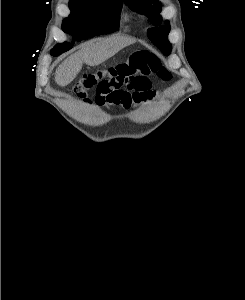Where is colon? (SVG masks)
Segmentation results:
<instances>
[{"instance_id":"colon-1","label":"colon","mask_w":245,"mask_h":300,"mask_svg":"<svg viewBox=\"0 0 245 300\" xmlns=\"http://www.w3.org/2000/svg\"><path fill=\"white\" fill-rule=\"evenodd\" d=\"M150 73L164 81L171 79V73L163 66L156 54L148 51H137L132 53L126 62L113 68L83 74L75 90L81 94L108 76L119 77L125 84L130 85L137 77Z\"/></svg>"}]
</instances>
